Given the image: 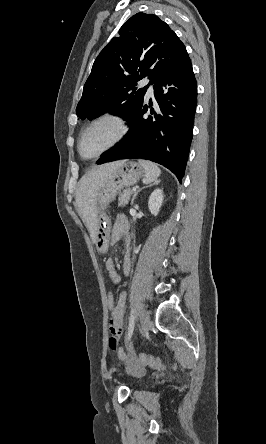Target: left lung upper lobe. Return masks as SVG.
Segmentation results:
<instances>
[{
  "label": "left lung upper lobe",
  "mask_w": 266,
  "mask_h": 444,
  "mask_svg": "<svg viewBox=\"0 0 266 444\" xmlns=\"http://www.w3.org/2000/svg\"><path fill=\"white\" fill-rule=\"evenodd\" d=\"M119 35L93 64L76 108L82 120L109 112L130 121L142 107L148 88L137 89V82L149 76L155 83L187 53L175 32L153 14H135Z\"/></svg>",
  "instance_id": "obj_1"
}]
</instances>
